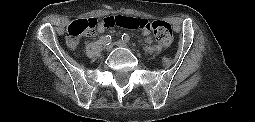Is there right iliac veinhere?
I'll list each match as a JSON object with an SVG mask.
<instances>
[{
    "mask_svg": "<svg viewBox=\"0 0 255 122\" xmlns=\"http://www.w3.org/2000/svg\"><path fill=\"white\" fill-rule=\"evenodd\" d=\"M112 48H113V45H112V44H109V45H107V46L105 47V50H106L107 52H110V51L112 50Z\"/></svg>",
    "mask_w": 255,
    "mask_h": 122,
    "instance_id": "63e3f726",
    "label": "right iliac vein"
}]
</instances>
